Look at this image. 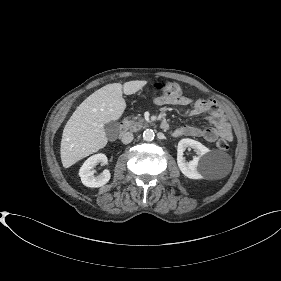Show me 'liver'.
Segmentation results:
<instances>
[{"label":"liver","instance_id":"6515ba94","mask_svg":"<svg viewBox=\"0 0 281 281\" xmlns=\"http://www.w3.org/2000/svg\"><path fill=\"white\" fill-rule=\"evenodd\" d=\"M146 84L145 80L108 84L77 107L62 134L60 154L64 168L105 147L108 139L104 125L118 120L126 108L122 94H134Z\"/></svg>","mask_w":281,"mask_h":281}]
</instances>
